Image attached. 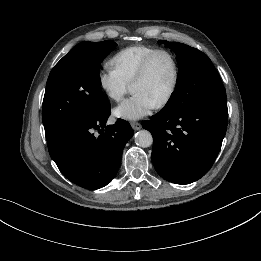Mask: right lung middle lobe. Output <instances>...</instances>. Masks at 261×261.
<instances>
[{
	"instance_id": "dd1d6c3e",
	"label": "right lung middle lobe",
	"mask_w": 261,
	"mask_h": 261,
	"mask_svg": "<svg viewBox=\"0 0 261 261\" xmlns=\"http://www.w3.org/2000/svg\"><path fill=\"white\" fill-rule=\"evenodd\" d=\"M115 46L110 40L81 42L52 69L42 104L46 139L68 126L100 117L109 109L98 67Z\"/></svg>"
}]
</instances>
